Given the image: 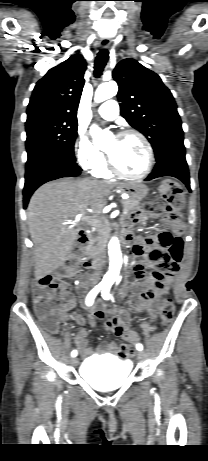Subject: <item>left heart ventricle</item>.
<instances>
[{"label": "left heart ventricle", "instance_id": "left-heart-ventricle-1", "mask_svg": "<svg viewBox=\"0 0 208 461\" xmlns=\"http://www.w3.org/2000/svg\"><path fill=\"white\" fill-rule=\"evenodd\" d=\"M105 152L111 155L116 166L124 173L137 175L147 166V152L143 143L135 136L112 138Z\"/></svg>", "mask_w": 208, "mask_h": 461}]
</instances>
